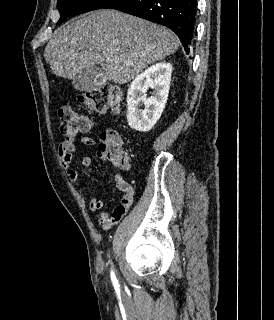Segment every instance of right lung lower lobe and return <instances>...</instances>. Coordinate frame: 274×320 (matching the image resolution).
Listing matches in <instances>:
<instances>
[{"label": "right lung lower lobe", "instance_id": "obj_1", "mask_svg": "<svg viewBox=\"0 0 274 320\" xmlns=\"http://www.w3.org/2000/svg\"><path fill=\"white\" fill-rule=\"evenodd\" d=\"M103 8L116 9L170 28L189 54L197 15L196 0H113Z\"/></svg>", "mask_w": 274, "mask_h": 320}]
</instances>
